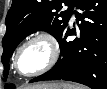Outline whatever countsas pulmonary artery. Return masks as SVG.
Wrapping results in <instances>:
<instances>
[{"instance_id": "1", "label": "pulmonary artery", "mask_w": 107, "mask_h": 89, "mask_svg": "<svg viewBox=\"0 0 107 89\" xmlns=\"http://www.w3.org/2000/svg\"><path fill=\"white\" fill-rule=\"evenodd\" d=\"M74 19H75V16L73 15V16H72V20H74Z\"/></svg>"}]
</instances>
